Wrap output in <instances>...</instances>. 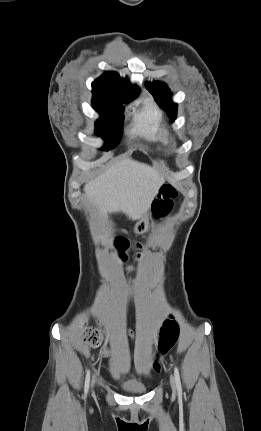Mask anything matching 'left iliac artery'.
I'll use <instances>...</instances> for the list:
<instances>
[{
    "label": "left iliac artery",
    "instance_id": "1",
    "mask_svg": "<svg viewBox=\"0 0 261 431\" xmlns=\"http://www.w3.org/2000/svg\"><path fill=\"white\" fill-rule=\"evenodd\" d=\"M174 376H175L177 391L179 394H181L182 393V386H181L180 375H179V371H178L177 367L174 368Z\"/></svg>",
    "mask_w": 261,
    "mask_h": 431
}]
</instances>
